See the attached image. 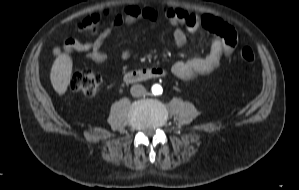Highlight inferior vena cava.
I'll return each instance as SVG.
<instances>
[{
  "label": "inferior vena cava",
  "instance_id": "1",
  "mask_svg": "<svg viewBox=\"0 0 299 190\" xmlns=\"http://www.w3.org/2000/svg\"><path fill=\"white\" fill-rule=\"evenodd\" d=\"M131 95L134 97H141L146 94V89L142 85H133L130 89Z\"/></svg>",
  "mask_w": 299,
  "mask_h": 190
}]
</instances>
